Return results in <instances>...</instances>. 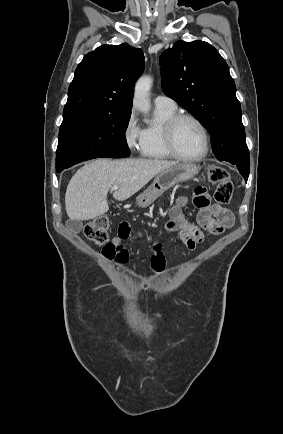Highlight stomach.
Masks as SVG:
<instances>
[{"mask_svg": "<svg viewBox=\"0 0 283 434\" xmlns=\"http://www.w3.org/2000/svg\"><path fill=\"white\" fill-rule=\"evenodd\" d=\"M201 167L192 163H177L161 171L152 184L137 197V204L141 207L150 205L177 183L186 182L198 174Z\"/></svg>", "mask_w": 283, "mask_h": 434, "instance_id": "1", "label": "stomach"}]
</instances>
